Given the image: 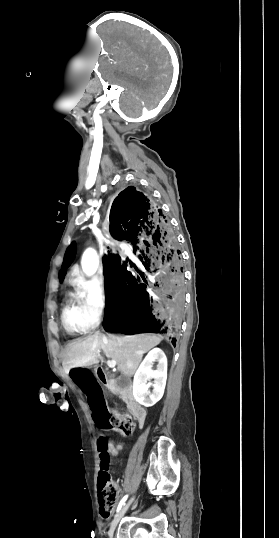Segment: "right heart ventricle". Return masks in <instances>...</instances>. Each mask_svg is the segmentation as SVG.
I'll use <instances>...</instances> for the list:
<instances>
[{
    "mask_svg": "<svg viewBox=\"0 0 279 538\" xmlns=\"http://www.w3.org/2000/svg\"><path fill=\"white\" fill-rule=\"evenodd\" d=\"M49 228H54L57 234H60L63 239H71L73 231L71 227L63 229V221L58 209L52 219H49ZM62 323L66 331L70 334L81 333L87 330V324L84 318V303L82 299L74 297L68 298L62 310Z\"/></svg>",
    "mask_w": 279,
    "mask_h": 538,
    "instance_id": "obj_1",
    "label": "right heart ventricle"
}]
</instances>
